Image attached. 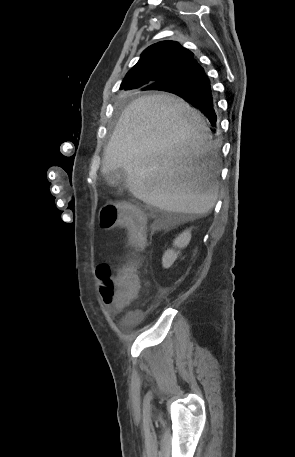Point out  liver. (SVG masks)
I'll return each mask as SVG.
<instances>
[{"label": "liver", "instance_id": "liver-1", "mask_svg": "<svg viewBox=\"0 0 295 457\" xmlns=\"http://www.w3.org/2000/svg\"><path fill=\"white\" fill-rule=\"evenodd\" d=\"M209 131L202 114L174 95L139 97L120 116L101 172L123 168L133 196L162 211L205 215L216 203L220 172Z\"/></svg>", "mask_w": 295, "mask_h": 457}]
</instances>
